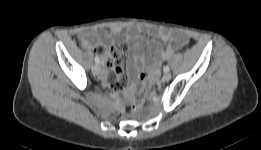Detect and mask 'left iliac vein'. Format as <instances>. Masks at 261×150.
Wrapping results in <instances>:
<instances>
[{
	"instance_id": "obj_1",
	"label": "left iliac vein",
	"mask_w": 261,
	"mask_h": 150,
	"mask_svg": "<svg viewBox=\"0 0 261 150\" xmlns=\"http://www.w3.org/2000/svg\"><path fill=\"white\" fill-rule=\"evenodd\" d=\"M171 74L170 73H168V72H166L164 75H163V78H162V80L164 81V82H168L170 79H171Z\"/></svg>"
}]
</instances>
